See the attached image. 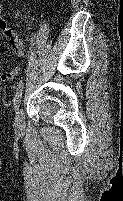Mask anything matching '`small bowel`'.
Segmentation results:
<instances>
[{"label":"small bowel","instance_id":"small-bowel-1","mask_svg":"<svg viewBox=\"0 0 123 201\" xmlns=\"http://www.w3.org/2000/svg\"><path fill=\"white\" fill-rule=\"evenodd\" d=\"M0 14H1V5H0ZM0 29L10 40V43H11L13 50H14L15 54L17 55V57L20 60H24L26 57V51H25L23 42L21 41L17 32L14 29H12L9 26V24L2 19H0ZM19 72H20V67L16 66L11 71L1 74V76L3 78L10 79V78L16 76Z\"/></svg>","mask_w":123,"mask_h":201}]
</instances>
